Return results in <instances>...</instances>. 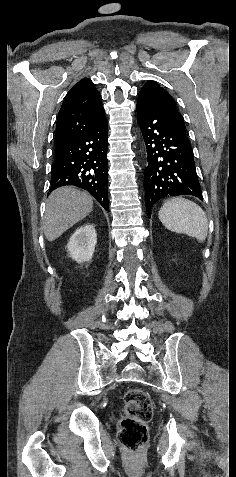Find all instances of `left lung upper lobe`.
I'll list each match as a JSON object with an SVG mask.
<instances>
[{"label": "left lung upper lobe", "instance_id": "1", "mask_svg": "<svg viewBox=\"0 0 236 477\" xmlns=\"http://www.w3.org/2000/svg\"><path fill=\"white\" fill-rule=\"evenodd\" d=\"M139 93L147 95L165 117L186 133L184 120L177 110L173 97L155 81H148Z\"/></svg>", "mask_w": 236, "mask_h": 477}]
</instances>
